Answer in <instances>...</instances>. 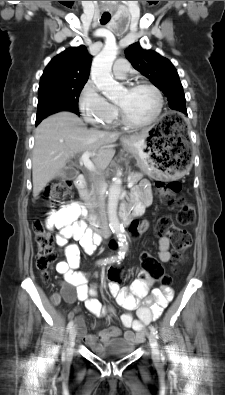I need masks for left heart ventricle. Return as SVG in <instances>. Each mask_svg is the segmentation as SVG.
Listing matches in <instances>:
<instances>
[{
  "label": "left heart ventricle",
  "mask_w": 225,
  "mask_h": 395,
  "mask_svg": "<svg viewBox=\"0 0 225 395\" xmlns=\"http://www.w3.org/2000/svg\"><path fill=\"white\" fill-rule=\"evenodd\" d=\"M116 103L134 122L148 120L155 112L157 104L154 93L147 88H138L132 91L123 89L116 99Z\"/></svg>",
  "instance_id": "obj_1"
}]
</instances>
